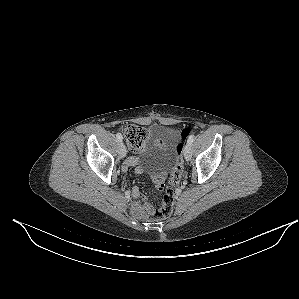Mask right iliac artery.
I'll return each instance as SVG.
<instances>
[{
  "label": "right iliac artery",
  "instance_id": "82829eb1",
  "mask_svg": "<svg viewBox=\"0 0 299 299\" xmlns=\"http://www.w3.org/2000/svg\"><path fill=\"white\" fill-rule=\"evenodd\" d=\"M116 138H117V140H118L119 142H122L123 137H122V135H121L120 133H117V134H116Z\"/></svg>",
  "mask_w": 299,
  "mask_h": 299
}]
</instances>
